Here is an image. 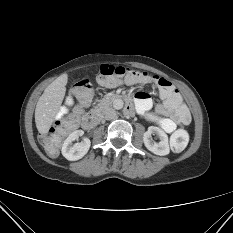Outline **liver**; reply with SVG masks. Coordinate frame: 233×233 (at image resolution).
Returning a JSON list of instances; mask_svg holds the SVG:
<instances>
[{
    "instance_id": "1",
    "label": "liver",
    "mask_w": 233,
    "mask_h": 233,
    "mask_svg": "<svg viewBox=\"0 0 233 233\" xmlns=\"http://www.w3.org/2000/svg\"><path fill=\"white\" fill-rule=\"evenodd\" d=\"M68 75L62 74L49 84L39 97L35 108V123L39 133L47 134L63 102Z\"/></svg>"
}]
</instances>
